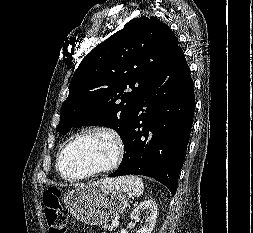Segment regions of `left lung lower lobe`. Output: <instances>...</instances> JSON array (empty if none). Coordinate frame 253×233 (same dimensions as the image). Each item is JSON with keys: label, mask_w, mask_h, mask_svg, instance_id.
<instances>
[{"label": "left lung lower lobe", "mask_w": 253, "mask_h": 233, "mask_svg": "<svg viewBox=\"0 0 253 233\" xmlns=\"http://www.w3.org/2000/svg\"><path fill=\"white\" fill-rule=\"evenodd\" d=\"M195 110L194 84L180 46L172 54L162 79L133 113L122 139L125 153L109 177L144 175L177 189Z\"/></svg>", "instance_id": "1"}]
</instances>
